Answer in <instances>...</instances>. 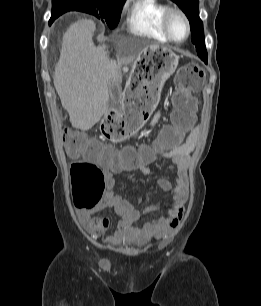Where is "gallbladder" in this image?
Here are the masks:
<instances>
[{
	"label": "gallbladder",
	"instance_id": "gallbladder-1",
	"mask_svg": "<svg viewBox=\"0 0 261 306\" xmlns=\"http://www.w3.org/2000/svg\"><path fill=\"white\" fill-rule=\"evenodd\" d=\"M110 99L109 104H117L121 99V89L118 84L111 83L109 85Z\"/></svg>",
	"mask_w": 261,
	"mask_h": 306
}]
</instances>
